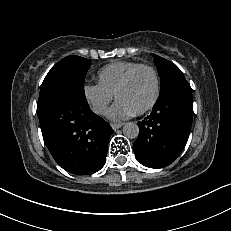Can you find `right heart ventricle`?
Listing matches in <instances>:
<instances>
[{"instance_id":"obj_1","label":"right heart ventricle","mask_w":231,"mask_h":231,"mask_svg":"<svg viewBox=\"0 0 231 231\" xmlns=\"http://www.w3.org/2000/svg\"><path fill=\"white\" fill-rule=\"evenodd\" d=\"M139 65L140 63L134 61L110 63L99 70L98 81L104 88L115 94L117 87L128 73Z\"/></svg>"}]
</instances>
